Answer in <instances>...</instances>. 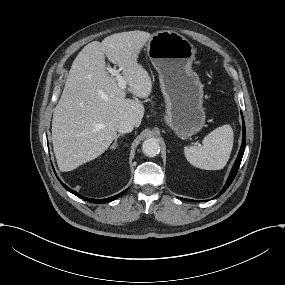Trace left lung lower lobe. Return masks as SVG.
Listing matches in <instances>:
<instances>
[{
  "label": "left lung lower lobe",
  "instance_id": "0a47b994",
  "mask_svg": "<svg viewBox=\"0 0 285 285\" xmlns=\"http://www.w3.org/2000/svg\"><path fill=\"white\" fill-rule=\"evenodd\" d=\"M241 116H242V121H243V140H242V145H241L238 157H237V159H236V161H235V163H234V165L232 167L230 175H229V177H228V179H227V181L225 183V186L223 187V189L220 191V193L216 197H218L221 194H223L227 190V188L230 186L232 181L234 180V178L236 176V173H237V170H238V168L240 166L243 154H244L245 143H246V130H245V123H244L242 112H241ZM181 199L186 200V201H194V200L184 199V198H181Z\"/></svg>",
  "mask_w": 285,
  "mask_h": 285
}]
</instances>
